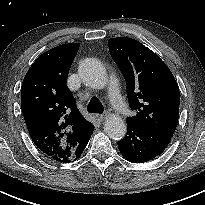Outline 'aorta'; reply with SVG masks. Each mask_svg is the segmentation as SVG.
Returning <instances> with one entry per match:
<instances>
[{
  "label": "aorta",
  "mask_w": 205,
  "mask_h": 205,
  "mask_svg": "<svg viewBox=\"0 0 205 205\" xmlns=\"http://www.w3.org/2000/svg\"><path fill=\"white\" fill-rule=\"evenodd\" d=\"M78 72L82 81L91 88L101 89L107 83L106 70L97 59H84ZM126 130V124L120 116L111 115L105 120L104 131L112 139H122Z\"/></svg>",
  "instance_id": "aorta-1"
}]
</instances>
